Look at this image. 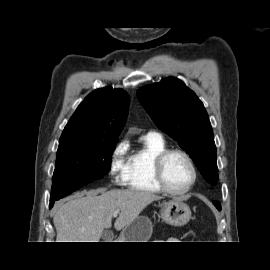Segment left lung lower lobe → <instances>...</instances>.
<instances>
[{"mask_svg":"<svg viewBox=\"0 0 270 270\" xmlns=\"http://www.w3.org/2000/svg\"><path fill=\"white\" fill-rule=\"evenodd\" d=\"M213 204L217 207L218 210H221V206L219 202L214 201Z\"/></svg>","mask_w":270,"mask_h":270,"instance_id":"left-lung-lower-lobe-1","label":"left lung lower lobe"}]
</instances>
